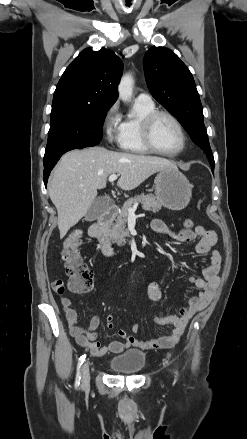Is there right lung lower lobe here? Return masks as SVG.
<instances>
[{
	"label": "right lung lower lobe",
	"mask_w": 247,
	"mask_h": 439,
	"mask_svg": "<svg viewBox=\"0 0 247 439\" xmlns=\"http://www.w3.org/2000/svg\"><path fill=\"white\" fill-rule=\"evenodd\" d=\"M59 159H60V157L56 158V159L52 160L51 162H49L48 164L44 165V184L45 185H47L48 177H49L51 170L53 169V167L55 166V164L57 163V161Z\"/></svg>",
	"instance_id": "98d812e1"
}]
</instances>
